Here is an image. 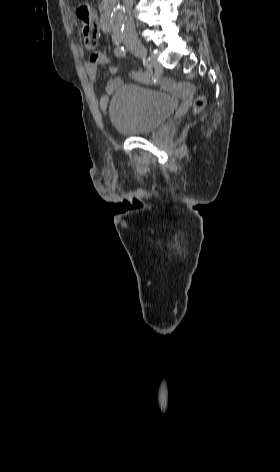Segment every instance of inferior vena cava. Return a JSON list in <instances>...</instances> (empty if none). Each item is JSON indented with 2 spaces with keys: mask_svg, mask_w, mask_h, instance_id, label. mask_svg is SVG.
Listing matches in <instances>:
<instances>
[{
  "mask_svg": "<svg viewBox=\"0 0 280 472\" xmlns=\"http://www.w3.org/2000/svg\"><path fill=\"white\" fill-rule=\"evenodd\" d=\"M133 2H134V0H123V3L126 7V11H127V14H128V20H127V23H126V27L132 33L135 30V24H134L133 17H132Z\"/></svg>",
  "mask_w": 280,
  "mask_h": 472,
  "instance_id": "inferior-vena-cava-1",
  "label": "inferior vena cava"
}]
</instances>
